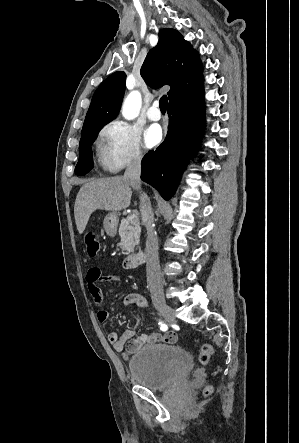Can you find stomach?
<instances>
[{"mask_svg": "<svg viewBox=\"0 0 299 443\" xmlns=\"http://www.w3.org/2000/svg\"><path fill=\"white\" fill-rule=\"evenodd\" d=\"M118 221V216L115 212L109 213L105 216L103 227L109 236L114 237L116 235Z\"/></svg>", "mask_w": 299, "mask_h": 443, "instance_id": "obj_1", "label": "stomach"}]
</instances>
